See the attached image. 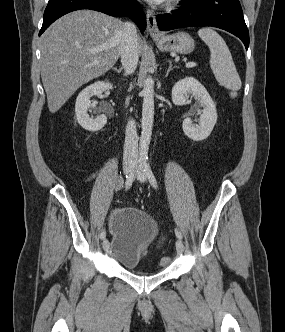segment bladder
<instances>
[{
	"label": "bladder",
	"mask_w": 285,
	"mask_h": 332,
	"mask_svg": "<svg viewBox=\"0 0 285 332\" xmlns=\"http://www.w3.org/2000/svg\"><path fill=\"white\" fill-rule=\"evenodd\" d=\"M110 232V252L128 269H135L143 260L146 249L160 237L154 219L135 207L117 210L110 221Z\"/></svg>",
	"instance_id": "bladder-1"
}]
</instances>
